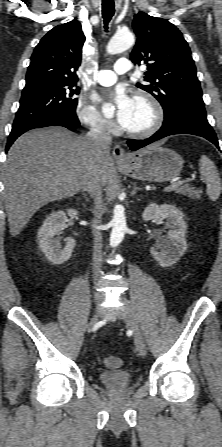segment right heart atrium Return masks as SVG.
Returning a JSON list of instances; mask_svg holds the SVG:
<instances>
[{
    "mask_svg": "<svg viewBox=\"0 0 222 447\" xmlns=\"http://www.w3.org/2000/svg\"><path fill=\"white\" fill-rule=\"evenodd\" d=\"M76 118L83 125L99 133L109 134L114 130V123L103 117L94 107L79 104L75 112Z\"/></svg>",
    "mask_w": 222,
    "mask_h": 447,
    "instance_id": "d8ad5b80",
    "label": "right heart atrium"
}]
</instances>
